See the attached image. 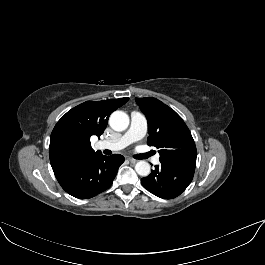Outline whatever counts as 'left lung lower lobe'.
<instances>
[{
	"label": "left lung lower lobe",
	"instance_id": "obj_1",
	"mask_svg": "<svg viewBox=\"0 0 265 265\" xmlns=\"http://www.w3.org/2000/svg\"><path fill=\"white\" fill-rule=\"evenodd\" d=\"M151 174L141 179L144 188L163 199L179 196L191 183L196 159L160 160Z\"/></svg>",
	"mask_w": 265,
	"mask_h": 265
}]
</instances>
